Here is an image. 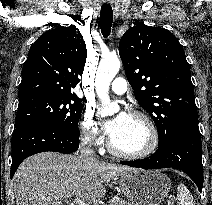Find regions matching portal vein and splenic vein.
Listing matches in <instances>:
<instances>
[{"label":"portal vein and splenic vein","mask_w":212,"mask_h":205,"mask_svg":"<svg viewBox=\"0 0 212 205\" xmlns=\"http://www.w3.org/2000/svg\"><path fill=\"white\" fill-rule=\"evenodd\" d=\"M73 203L76 204V205H89V204L83 202L80 198H75L73 200Z\"/></svg>","instance_id":"obj_1"}]
</instances>
